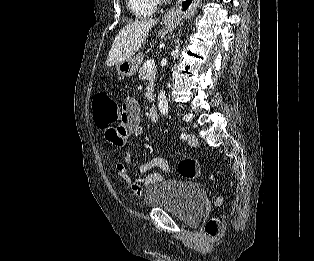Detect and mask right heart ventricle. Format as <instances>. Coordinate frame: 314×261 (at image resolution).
Here are the masks:
<instances>
[{
    "label": "right heart ventricle",
    "instance_id": "obj_1",
    "mask_svg": "<svg viewBox=\"0 0 314 261\" xmlns=\"http://www.w3.org/2000/svg\"><path fill=\"white\" fill-rule=\"evenodd\" d=\"M156 4L155 0H128V7L131 13L138 18L154 15Z\"/></svg>",
    "mask_w": 314,
    "mask_h": 261
}]
</instances>
